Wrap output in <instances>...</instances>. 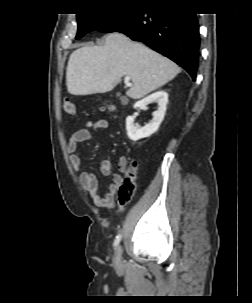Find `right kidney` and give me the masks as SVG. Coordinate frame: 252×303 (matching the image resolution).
<instances>
[{
    "mask_svg": "<svg viewBox=\"0 0 252 303\" xmlns=\"http://www.w3.org/2000/svg\"><path fill=\"white\" fill-rule=\"evenodd\" d=\"M152 102L158 103V110L153 113V119L149 124H146L144 127L139 128L134 124V117L128 116L126 119V130L127 135L132 141H137L142 138H146L154 134L160 124L162 123L166 106L168 103V93L166 91H157L146 98L136 102L134 108H145L148 104Z\"/></svg>",
    "mask_w": 252,
    "mask_h": 303,
    "instance_id": "1",
    "label": "right kidney"
}]
</instances>
